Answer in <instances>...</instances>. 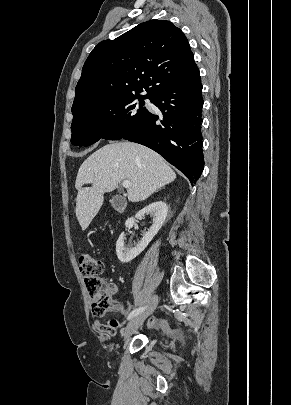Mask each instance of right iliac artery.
I'll use <instances>...</instances> for the list:
<instances>
[{
  "label": "right iliac artery",
  "instance_id": "1",
  "mask_svg": "<svg viewBox=\"0 0 291 405\" xmlns=\"http://www.w3.org/2000/svg\"><path fill=\"white\" fill-rule=\"evenodd\" d=\"M146 309V307H140V308H136L133 311L130 312V314L128 315L127 319L130 320L133 317L137 316L138 314H140L141 312H143Z\"/></svg>",
  "mask_w": 291,
  "mask_h": 405
}]
</instances>
